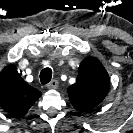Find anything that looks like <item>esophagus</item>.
<instances>
[{
	"instance_id": "34e87169",
	"label": "esophagus",
	"mask_w": 133,
	"mask_h": 133,
	"mask_svg": "<svg viewBox=\"0 0 133 133\" xmlns=\"http://www.w3.org/2000/svg\"><path fill=\"white\" fill-rule=\"evenodd\" d=\"M58 81L56 79L50 81L48 84H47V88L48 89H56L58 88Z\"/></svg>"
}]
</instances>
